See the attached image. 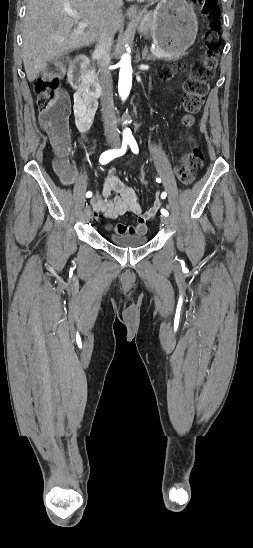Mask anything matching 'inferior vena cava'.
<instances>
[{
  "label": "inferior vena cava",
  "instance_id": "602c4592",
  "mask_svg": "<svg viewBox=\"0 0 253 548\" xmlns=\"http://www.w3.org/2000/svg\"><path fill=\"white\" fill-rule=\"evenodd\" d=\"M109 6L121 7L123 0H109ZM114 32L107 23H104L97 40L95 52L98 56L99 79L102 87L101 106L104 113L100 114L105 136L114 141L119 140L118 126L116 125L117 115L114 111L112 78L108 69L110 52L113 45Z\"/></svg>",
  "mask_w": 253,
  "mask_h": 548
}]
</instances>
